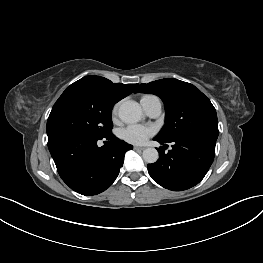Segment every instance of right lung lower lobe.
<instances>
[{
    "label": "right lung lower lobe",
    "instance_id": "98d812e1",
    "mask_svg": "<svg viewBox=\"0 0 263 263\" xmlns=\"http://www.w3.org/2000/svg\"><path fill=\"white\" fill-rule=\"evenodd\" d=\"M104 141L99 147L98 142ZM48 148L62 180L82 195H96L117 178L124 155L132 145L113 134L107 137L70 134L48 139Z\"/></svg>",
    "mask_w": 263,
    "mask_h": 263
}]
</instances>
